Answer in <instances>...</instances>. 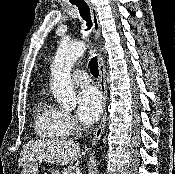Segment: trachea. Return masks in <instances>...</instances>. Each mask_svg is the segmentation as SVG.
<instances>
[{
    "instance_id": "3493384b",
    "label": "trachea",
    "mask_w": 175,
    "mask_h": 174,
    "mask_svg": "<svg viewBox=\"0 0 175 174\" xmlns=\"http://www.w3.org/2000/svg\"><path fill=\"white\" fill-rule=\"evenodd\" d=\"M73 3L78 7L80 16L86 22V25H87L86 30H89L92 27V20H91L89 6L83 0H75V2H73ZM89 67H90L92 75L94 77H98L99 69H98L97 57H93L91 59V61L89 63Z\"/></svg>"
}]
</instances>
